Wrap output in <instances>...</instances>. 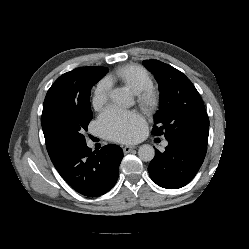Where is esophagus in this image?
I'll list each match as a JSON object with an SVG mask.
<instances>
[{
    "label": "esophagus",
    "mask_w": 249,
    "mask_h": 249,
    "mask_svg": "<svg viewBox=\"0 0 249 249\" xmlns=\"http://www.w3.org/2000/svg\"><path fill=\"white\" fill-rule=\"evenodd\" d=\"M122 149H123V152L127 154L131 152L133 149H135V146H124Z\"/></svg>",
    "instance_id": "1"
}]
</instances>
